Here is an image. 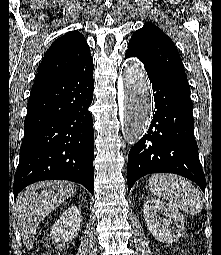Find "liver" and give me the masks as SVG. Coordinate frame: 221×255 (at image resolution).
Returning <instances> with one entry per match:
<instances>
[{
	"instance_id": "6515ba94",
	"label": "liver",
	"mask_w": 221,
	"mask_h": 255,
	"mask_svg": "<svg viewBox=\"0 0 221 255\" xmlns=\"http://www.w3.org/2000/svg\"><path fill=\"white\" fill-rule=\"evenodd\" d=\"M76 186L64 180L42 181L22 191L13 212L25 247L31 250L40 222L61 203L74 195Z\"/></svg>"
}]
</instances>
